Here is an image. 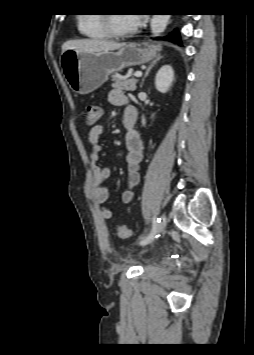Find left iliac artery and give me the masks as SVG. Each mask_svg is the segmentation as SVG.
Returning <instances> with one entry per match:
<instances>
[{"label": "left iliac artery", "mask_w": 254, "mask_h": 355, "mask_svg": "<svg viewBox=\"0 0 254 355\" xmlns=\"http://www.w3.org/2000/svg\"><path fill=\"white\" fill-rule=\"evenodd\" d=\"M161 222V218H153L152 230L149 235L142 238L139 242L140 245H147L151 243L154 239H156L159 235L157 233V225Z\"/></svg>", "instance_id": "left-iliac-artery-1"}]
</instances>
